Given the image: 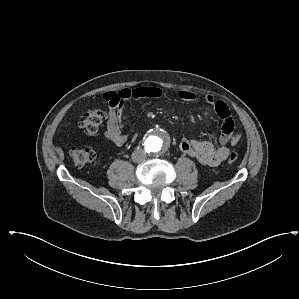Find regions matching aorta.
Masks as SVG:
<instances>
[{"mask_svg": "<svg viewBox=\"0 0 299 299\" xmlns=\"http://www.w3.org/2000/svg\"><path fill=\"white\" fill-rule=\"evenodd\" d=\"M144 146L151 155L160 154L167 146V136L160 131H154L145 138Z\"/></svg>", "mask_w": 299, "mask_h": 299, "instance_id": "762f6f07", "label": "aorta"}]
</instances>
